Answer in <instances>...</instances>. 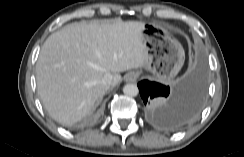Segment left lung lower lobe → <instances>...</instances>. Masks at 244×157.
<instances>
[{"instance_id":"left-lung-lower-lobe-1","label":"left lung lower lobe","mask_w":244,"mask_h":157,"mask_svg":"<svg viewBox=\"0 0 244 157\" xmlns=\"http://www.w3.org/2000/svg\"><path fill=\"white\" fill-rule=\"evenodd\" d=\"M149 119L156 125L178 130L201 111L206 95V72L200 63L172 86L143 80L138 83Z\"/></svg>"}]
</instances>
